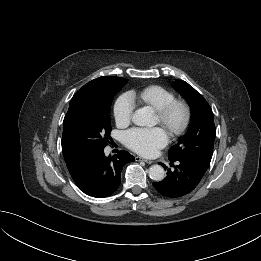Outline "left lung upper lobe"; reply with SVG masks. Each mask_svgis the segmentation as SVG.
<instances>
[{
	"instance_id": "1",
	"label": "left lung upper lobe",
	"mask_w": 261,
	"mask_h": 261,
	"mask_svg": "<svg viewBox=\"0 0 261 261\" xmlns=\"http://www.w3.org/2000/svg\"><path fill=\"white\" fill-rule=\"evenodd\" d=\"M175 88L191 107V122L187 133L170 148L168 157L186 160L205 173L210 165L216 137L212 110L204 97L185 81L178 80Z\"/></svg>"
}]
</instances>
